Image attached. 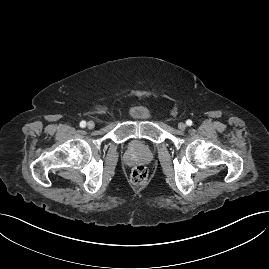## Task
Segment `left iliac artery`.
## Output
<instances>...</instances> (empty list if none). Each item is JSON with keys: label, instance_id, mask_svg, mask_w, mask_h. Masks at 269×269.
<instances>
[{"label": "left iliac artery", "instance_id": "obj_1", "mask_svg": "<svg viewBox=\"0 0 269 269\" xmlns=\"http://www.w3.org/2000/svg\"><path fill=\"white\" fill-rule=\"evenodd\" d=\"M186 124H187L188 126H191V125L193 124V122H192L190 119H188V120L186 121Z\"/></svg>", "mask_w": 269, "mask_h": 269}]
</instances>
